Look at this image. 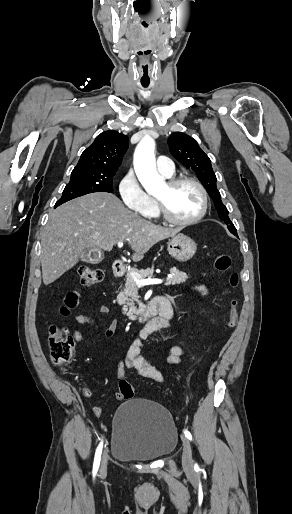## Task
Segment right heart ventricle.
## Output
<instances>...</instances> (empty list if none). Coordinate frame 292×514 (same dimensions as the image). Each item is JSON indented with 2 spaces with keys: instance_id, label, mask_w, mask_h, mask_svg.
<instances>
[{
  "instance_id": "1",
  "label": "right heart ventricle",
  "mask_w": 292,
  "mask_h": 514,
  "mask_svg": "<svg viewBox=\"0 0 292 514\" xmlns=\"http://www.w3.org/2000/svg\"><path fill=\"white\" fill-rule=\"evenodd\" d=\"M147 212L151 215H154V216H158L159 215V212L156 208V205H155V202L154 200L150 197V204H149V207L147 209Z\"/></svg>"
}]
</instances>
